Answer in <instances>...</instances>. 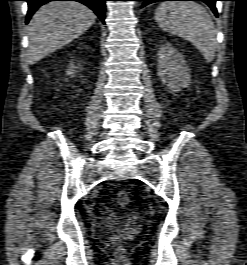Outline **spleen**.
Masks as SVG:
<instances>
[{"instance_id":"spleen-1","label":"spleen","mask_w":247,"mask_h":265,"mask_svg":"<svg viewBox=\"0 0 247 265\" xmlns=\"http://www.w3.org/2000/svg\"><path fill=\"white\" fill-rule=\"evenodd\" d=\"M155 20L163 30L191 42L207 62L217 48L216 30L211 16L193 1H166L155 11Z\"/></svg>"}]
</instances>
